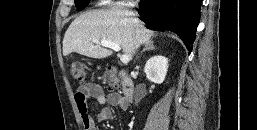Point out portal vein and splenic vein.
<instances>
[{
	"label": "portal vein and splenic vein",
	"mask_w": 257,
	"mask_h": 130,
	"mask_svg": "<svg viewBox=\"0 0 257 130\" xmlns=\"http://www.w3.org/2000/svg\"><path fill=\"white\" fill-rule=\"evenodd\" d=\"M97 44L103 46V47H107V48H111L112 50L119 52L121 50V47L119 46V44L113 42V41H109V40H101V41H94ZM131 57L129 55H122L120 57V60L122 63L127 64L130 61Z\"/></svg>",
	"instance_id": "obj_1"
}]
</instances>
